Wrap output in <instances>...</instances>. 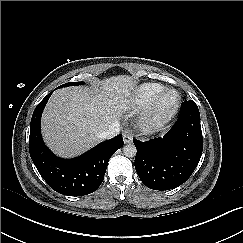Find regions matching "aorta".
Instances as JSON below:
<instances>
[{
	"label": "aorta",
	"instance_id": "1",
	"mask_svg": "<svg viewBox=\"0 0 243 243\" xmlns=\"http://www.w3.org/2000/svg\"><path fill=\"white\" fill-rule=\"evenodd\" d=\"M137 149L134 144H127L123 147V153L127 157H134L136 155Z\"/></svg>",
	"mask_w": 243,
	"mask_h": 243
}]
</instances>
